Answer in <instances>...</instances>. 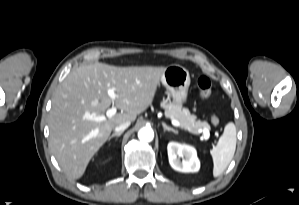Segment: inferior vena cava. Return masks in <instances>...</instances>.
Instances as JSON below:
<instances>
[{
    "label": "inferior vena cava",
    "mask_w": 299,
    "mask_h": 205,
    "mask_svg": "<svg viewBox=\"0 0 299 205\" xmlns=\"http://www.w3.org/2000/svg\"><path fill=\"white\" fill-rule=\"evenodd\" d=\"M130 126V122L129 121H126V122H123L122 124L116 126L114 128L115 132L116 133H119V132H123L125 129H127L128 127Z\"/></svg>",
    "instance_id": "1"
}]
</instances>
